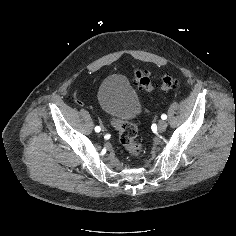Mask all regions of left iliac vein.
Wrapping results in <instances>:
<instances>
[{"mask_svg":"<svg viewBox=\"0 0 236 236\" xmlns=\"http://www.w3.org/2000/svg\"><path fill=\"white\" fill-rule=\"evenodd\" d=\"M167 122L165 121V120H160L159 122H158V131L159 132H164L165 130H166V128H167Z\"/></svg>","mask_w":236,"mask_h":236,"instance_id":"left-iliac-vein-1","label":"left iliac vein"}]
</instances>
